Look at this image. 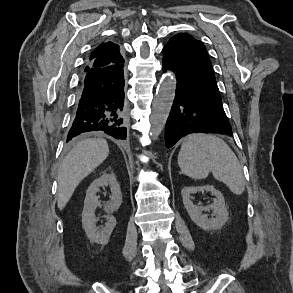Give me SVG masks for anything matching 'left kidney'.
Here are the masks:
<instances>
[{
	"label": "left kidney",
	"mask_w": 293,
	"mask_h": 293,
	"mask_svg": "<svg viewBox=\"0 0 293 293\" xmlns=\"http://www.w3.org/2000/svg\"><path fill=\"white\" fill-rule=\"evenodd\" d=\"M208 191L215 196L214 202L208 206H197L192 202V195L197 192ZM183 204L191 220L203 230H218L229 219V212L225 205V199L222 193L211 185L204 186H187L181 191ZM212 210L215 217L208 218L203 211Z\"/></svg>",
	"instance_id": "5707ae66"
}]
</instances>
